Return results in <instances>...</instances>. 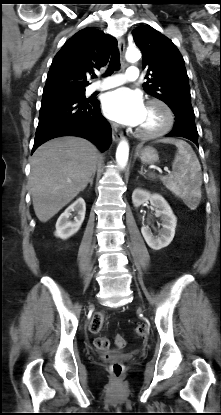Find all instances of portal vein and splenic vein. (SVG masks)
<instances>
[{"mask_svg": "<svg viewBox=\"0 0 221 415\" xmlns=\"http://www.w3.org/2000/svg\"><path fill=\"white\" fill-rule=\"evenodd\" d=\"M164 170H165L166 172L170 173V171H169L167 168H165Z\"/></svg>", "mask_w": 221, "mask_h": 415, "instance_id": "18ae733b", "label": "portal vein and splenic vein"}]
</instances>
